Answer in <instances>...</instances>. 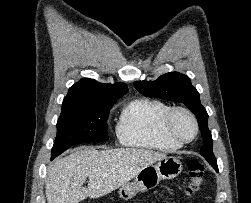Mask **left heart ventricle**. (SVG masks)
<instances>
[{"instance_id": "1", "label": "left heart ventricle", "mask_w": 251, "mask_h": 203, "mask_svg": "<svg viewBox=\"0 0 251 203\" xmlns=\"http://www.w3.org/2000/svg\"><path fill=\"white\" fill-rule=\"evenodd\" d=\"M174 131L182 138H190L194 134V124L184 113H177L173 120Z\"/></svg>"}]
</instances>
